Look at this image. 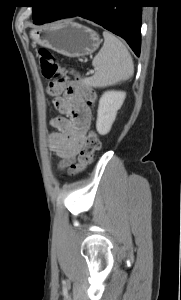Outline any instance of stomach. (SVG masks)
Returning a JSON list of instances; mask_svg holds the SVG:
<instances>
[{"mask_svg":"<svg viewBox=\"0 0 181 300\" xmlns=\"http://www.w3.org/2000/svg\"><path fill=\"white\" fill-rule=\"evenodd\" d=\"M31 38L41 46L73 58L93 53L100 44L99 35L94 30L72 21L34 30Z\"/></svg>","mask_w":181,"mask_h":300,"instance_id":"1","label":"stomach"}]
</instances>
